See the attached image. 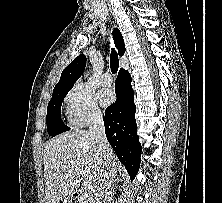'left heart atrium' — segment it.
<instances>
[{
	"instance_id": "obj_1",
	"label": "left heart atrium",
	"mask_w": 222,
	"mask_h": 203,
	"mask_svg": "<svg viewBox=\"0 0 222 203\" xmlns=\"http://www.w3.org/2000/svg\"><path fill=\"white\" fill-rule=\"evenodd\" d=\"M100 101L104 106L110 105L114 101V94L110 90H103L99 94Z\"/></svg>"
}]
</instances>
